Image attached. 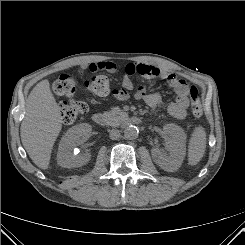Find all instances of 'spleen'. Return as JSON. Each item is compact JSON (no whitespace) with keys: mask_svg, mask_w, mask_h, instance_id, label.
Instances as JSON below:
<instances>
[{"mask_svg":"<svg viewBox=\"0 0 245 245\" xmlns=\"http://www.w3.org/2000/svg\"><path fill=\"white\" fill-rule=\"evenodd\" d=\"M206 147V133L203 127L195 128L189 142V163L197 164L204 155Z\"/></svg>","mask_w":245,"mask_h":245,"instance_id":"3e777b00","label":"spleen"}]
</instances>
